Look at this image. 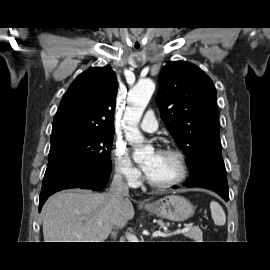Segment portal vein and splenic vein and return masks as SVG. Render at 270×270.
<instances>
[{"label": "portal vein and splenic vein", "instance_id": "1", "mask_svg": "<svg viewBox=\"0 0 270 270\" xmlns=\"http://www.w3.org/2000/svg\"><path fill=\"white\" fill-rule=\"evenodd\" d=\"M190 229V226L189 225H186L184 228L182 229H178L174 232H170V233H167V232H161V231H155L153 234H152V237L153 238H156V237H169L171 235H176V234H180V233H185L187 232L188 230ZM126 238L128 239L129 242H139L138 241V238L136 237V235H133L131 233H127L126 234Z\"/></svg>", "mask_w": 270, "mask_h": 270}]
</instances>
